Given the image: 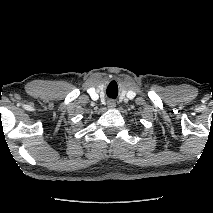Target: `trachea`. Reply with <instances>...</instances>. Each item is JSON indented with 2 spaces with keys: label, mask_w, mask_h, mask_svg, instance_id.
<instances>
[{
  "label": "trachea",
  "mask_w": 213,
  "mask_h": 213,
  "mask_svg": "<svg viewBox=\"0 0 213 213\" xmlns=\"http://www.w3.org/2000/svg\"><path fill=\"white\" fill-rule=\"evenodd\" d=\"M107 95H108V93H107ZM109 97H111V98H115L116 96H117V93L115 94H112V95H108Z\"/></svg>",
  "instance_id": "1"
}]
</instances>
